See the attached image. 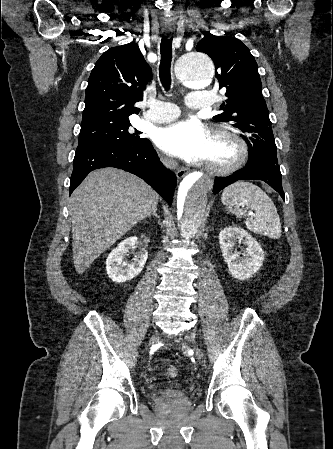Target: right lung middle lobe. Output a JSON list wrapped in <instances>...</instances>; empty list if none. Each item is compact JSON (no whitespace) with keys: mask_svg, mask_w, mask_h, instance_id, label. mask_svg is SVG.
Wrapping results in <instances>:
<instances>
[{"mask_svg":"<svg viewBox=\"0 0 333 449\" xmlns=\"http://www.w3.org/2000/svg\"><path fill=\"white\" fill-rule=\"evenodd\" d=\"M130 126V121L124 120L81 127L78 147L91 145L142 146L147 139L141 138V132L138 130H130Z\"/></svg>","mask_w":333,"mask_h":449,"instance_id":"right-lung-middle-lobe-1","label":"right lung middle lobe"}]
</instances>
